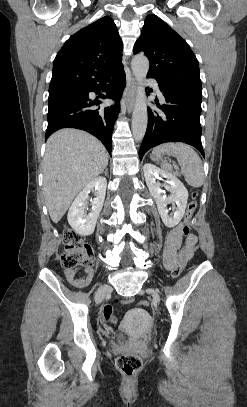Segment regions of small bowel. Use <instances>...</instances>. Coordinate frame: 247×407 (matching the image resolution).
I'll return each instance as SVG.
<instances>
[{
	"label": "small bowel",
	"instance_id": "small-bowel-1",
	"mask_svg": "<svg viewBox=\"0 0 247 407\" xmlns=\"http://www.w3.org/2000/svg\"><path fill=\"white\" fill-rule=\"evenodd\" d=\"M183 236L181 225L173 228L168 234L163 251V261L164 266L167 270L174 268L177 257L178 250L182 246ZM196 244V237L194 235H189L186 238V261H188L192 256L193 247ZM65 277L73 286L78 288H83L87 286L93 278V270L90 267L84 268V274L78 276V269H65Z\"/></svg>",
	"mask_w": 247,
	"mask_h": 407
}]
</instances>
